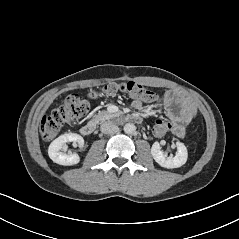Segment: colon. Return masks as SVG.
I'll return each instance as SVG.
<instances>
[{
	"mask_svg": "<svg viewBox=\"0 0 239 239\" xmlns=\"http://www.w3.org/2000/svg\"><path fill=\"white\" fill-rule=\"evenodd\" d=\"M117 93H126L132 98L152 103L156 100V95L144 86L133 82L110 83L100 91H95L94 96L109 95ZM88 103L76 95L69 96L63 105L55 109L49 116L41 120L40 130L46 140H51L59 135L65 126H71L79 121L88 112ZM170 123L168 119L161 117L154 121L151 129L153 136L160 138L165 136L169 131Z\"/></svg>",
	"mask_w": 239,
	"mask_h": 239,
	"instance_id": "colon-1",
	"label": "colon"
}]
</instances>
